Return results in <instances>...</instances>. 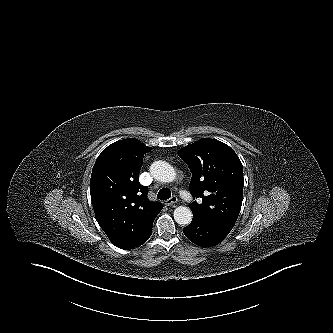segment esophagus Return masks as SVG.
<instances>
[{"label":"esophagus","mask_w":333,"mask_h":333,"mask_svg":"<svg viewBox=\"0 0 333 333\" xmlns=\"http://www.w3.org/2000/svg\"><path fill=\"white\" fill-rule=\"evenodd\" d=\"M177 201H178V198H177V196L174 195L165 201V205L171 206V205L175 204Z\"/></svg>","instance_id":"obj_1"}]
</instances>
